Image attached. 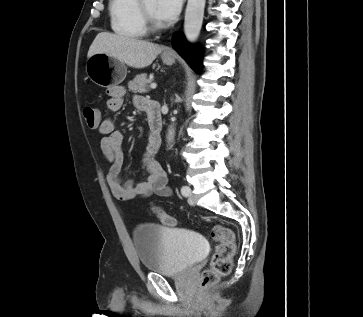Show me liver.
<instances>
[{"label": "liver", "instance_id": "1", "mask_svg": "<svg viewBox=\"0 0 363 317\" xmlns=\"http://www.w3.org/2000/svg\"><path fill=\"white\" fill-rule=\"evenodd\" d=\"M163 47L134 37L99 33L91 44L87 57L97 53L110 55L133 68L149 66L162 52Z\"/></svg>", "mask_w": 363, "mask_h": 317}]
</instances>
